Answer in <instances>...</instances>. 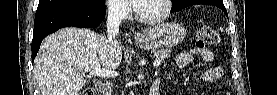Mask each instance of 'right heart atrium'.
<instances>
[{
  "instance_id": "right-heart-atrium-1",
  "label": "right heart atrium",
  "mask_w": 277,
  "mask_h": 95,
  "mask_svg": "<svg viewBox=\"0 0 277 95\" xmlns=\"http://www.w3.org/2000/svg\"><path fill=\"white\" fill-rule=\"evenodd\" d=\"M106 5L111 18L116 20L125 19L129 14L128 7L121 0H108Z\"/></svg>"
}]
</instances>
